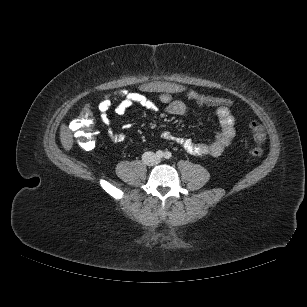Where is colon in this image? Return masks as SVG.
I'll use <instances>...</instances> for the list:
<instances>
[{
    "label": "colon",
    "mask_w": 307,
    "mask_h": 307,
    "mask_svg": "<svg viewBox=\"0 0 307 307\" xmlns=\"http://www.w3.org/2000/svg\"><path fill=\"white\" fill-rule=\"evenodd\" d=\"M190 102L203 107H229L232 100L228 97L201 95L188 99ZM71 131L79 141V145L85 150H92L96 146L97 131L94 128L93 114L89 107L82 109L78 116L70 124ZM249 129L256 139V145L250 149L253 157H260L263 154V144L265 141L264 126L256 121L249 122Z\"/></svg>",
    "instance_id": "obj_1"
}]
</instances>
